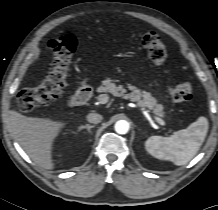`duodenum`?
Here are the masks:
<instances>
[{"label":"duodenum","mask_w":218,"mask_h":210,"mask_svg":"<svg viewBox=\"0 0 218 210\" xmlns=\"http://www.w3.org/2000/svg\"><path fill=\"white\" fill-rule=\"evenodd\" d=\"M92 95V91L88 86L80 87L74 96V104L73 106H81L84 105Z\"/></svg>","instance_id":"1"}]
</instances>
